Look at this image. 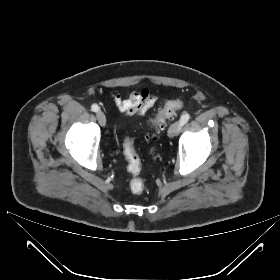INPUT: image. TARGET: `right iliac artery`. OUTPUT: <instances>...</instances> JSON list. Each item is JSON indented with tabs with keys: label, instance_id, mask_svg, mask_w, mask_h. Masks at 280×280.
Segmentation results:
<instances>
[{
	"label": "right iliac artery",
	"instance_id": "82829eb1",
	"mask_svg": "<svg viewBox=\"0 0 280 280\" xmlns=\"http://www.w3.org/2000/svg\"><path fill=\"white\" fill-rule=\"evenodd\" d=\"M91 109H92L93 112H98L99 107H98V105L93 104V105L91 106Z\"/></svg>",
	"mask_w": 280,
	"mask_h": 280
}]
</instances>
